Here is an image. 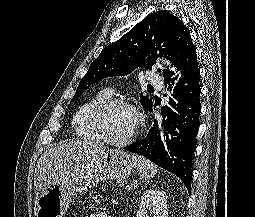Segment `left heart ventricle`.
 Returning <instances> with one entry per match:
<instances>
[{
	"instance_id": "obj_1",
	"label": "left heart ventricle",
	"mask_w": 255,
	"mask_h": 217,
	"mask_svg": "<svg viewBox=\"0 0 255 217\" xmlns=\"http://www.w3.org/2000/svg\"><path fill=\"white\" fill-rule=\"evenodd\" d=\"M136 125L134 112L126 107H115L104 116V129L108 136L122 139L128 136Z\"/></svg>"
}]
</instances>
